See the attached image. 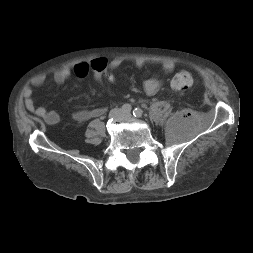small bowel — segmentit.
Segmentation results:
<instances>
[{
	"label": "small bowel",
	"instance_id": "1",
	"mask_svg": "<svg viewBox=\"0 0 253 253\" xmlns=\"http://www.w3.org/2000/svg\"><path fill=\"white\" fill-rule=\"evenodd\" d=\"M124 60L122 58H113L108 61V69L113 72L114 70L120 68L123 65ZM137 68H142L145 65L144 60L137 59L134 62ZM175 66L174 63L167 61L162 64V70L164 73L168 74L173 72ZM90 71V64L88 62H79L74 65L73 70L69 68L61 69L54 74V81L58 84L64 83L68 80L72 73L80 79L87 76ZM45 83V77L39 76L33 80L34 86H42ZM144 90L148 95L155 94L162 86V81L156 77L152 76L144 81ZM25 97V107L26 109L34 114L36 117L43 120L47 125H55L60 120V115L56 110H48L43 106H36L33 99V90L31 88H26L24 91ZM106 112L103 107H96L91 109H81L73 113V120L78 123H83L89 121L90 119L101 117Z\"/></svg>",
	"mask_w": 253,
	"mask_h": 253
}]
</instances>
